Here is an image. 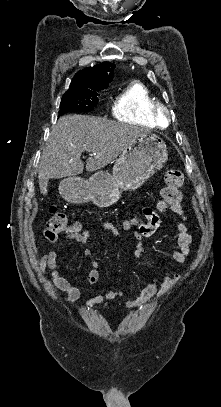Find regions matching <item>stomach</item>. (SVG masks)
Returning <instances> with one entry per match:
<instances>
[{
	"instance_id": "stomach-1",
	"label": "stomach",
	"mask_w": 221,
	"mask_h": 407,
	"mask_svg": "<svg viewBox=\"0 0 221 407\" xmlns=\"http://www.w3.org/2000/svg\"><path fill=\"white\" fill-rule=\"evenodd\" d=\"M168 160L165 141L153 133L135 139L114 163L112 174L94 173L88 180L68 177L59 190L65 200L74 204L92 201L100 208L115 204L123 191H132L143 185Z\"/></svg>"
}]
</instances>
